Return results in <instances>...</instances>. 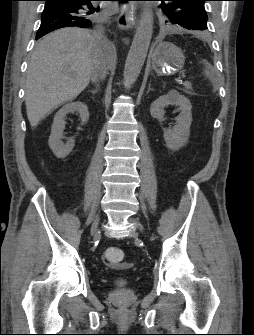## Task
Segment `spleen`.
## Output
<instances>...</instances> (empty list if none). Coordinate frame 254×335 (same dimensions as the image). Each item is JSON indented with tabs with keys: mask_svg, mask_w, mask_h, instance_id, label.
I'll return each instance as SVG.
<instances>
[{
	"mask_svg": "<svg viewBox=\"0 0 254 335\" xmlns=\"http://www.w3.org/2000/svg\"><path fill=\"white\" fill-rule=\"evenodd\" d=\"M204 75H205L207 78H209V79H211V77H212V74H211V72L209 71L208 66H206L205 69H204Z\"/></svg>",
	"mask_w": 254,
	"mask_h": 335,
	"instance_id": "obj_1",
	"label": "spleen"
}]
</instances>
